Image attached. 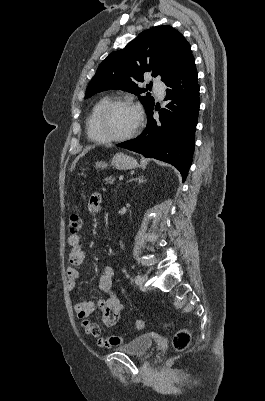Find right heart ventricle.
Wrapping results in <instances>:
<instances>
[{"instance_id":"1","label":"right heart ventricle","mask_w":265,"mask_h":401,"mask_svg":"<svg viewBox=\"0 0 265 401\" xmlns=\"http://www.w3.org/2000/svg\"><path fill=\"white\" fill-rule=\"evenodd\" d=\"M108 101V98L99 99L91 108L87 118H86V129L88 137L95 142H100L97 139V135L92 131V122L97 113V111Z\"/></svg>"}]
</instances>
